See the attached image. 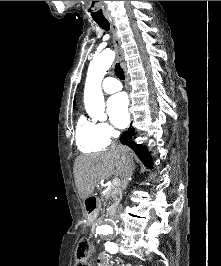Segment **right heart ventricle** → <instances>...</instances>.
I'll use <instances>...</instances> for the list:
<instances>
[{"label":"right heart ventricle","mask_w":221,"mask_h":266,"mask_svg":"<svg viewBox=\"0 0 221 266\" xmlns=\"http://www.w3.org/2000/svg\"><path fill=\"white\" fill-rule=\"evenodd\" d=\"M75 140L78 149L83 153L102 151L109 144V140L102 135L99 124L84 116L78 119Z\"/></svg>","instance_id":"obj_1"}]
</instances>
